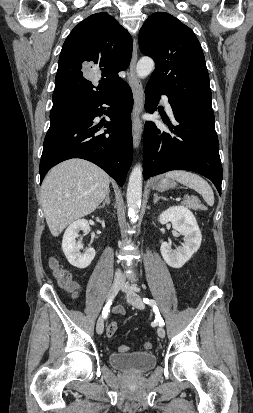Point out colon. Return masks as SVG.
Listing matches in <instances>:
<instances>
[{
	"mask_svg": "<svg viewBox=\"0 0 253 413\" xmlns=\"http://www.w3.org/2000/svg\"><path fill=\"white\" fill-rule=\"evenodd\" d=\"M51 268L53 270V274L55 276V278L57 279L58 283L61 286H66L69 283L72 282V275L69 271L63 269L56 260H52L51 261ZM118 328V324L117 322L113 321L111 323H109V325L107 326V336L108 337H112L115 332L117 331ZM144 348L146 350H149L152 348V343L151 342H145L144 343ZM120 352H126L128 351V346L126 345H122L119 347Z\"/></svg>",
	"mask_w": 253,
	"mask_h": 413,
	"instance_id": "1",
	"label": "colon"
}]
</instances>
